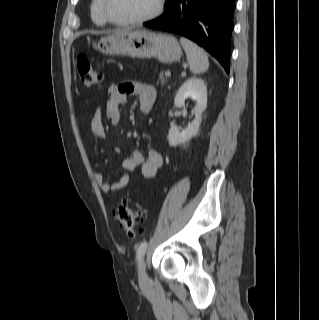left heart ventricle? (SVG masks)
Segmentation results:
<instances>
[{
    "mask_svg": "<svg viewBox=\"0 0 319 320\" xmlns=\"http://www.w3.org/2000/svg\"><path fill=\"white\" fill-rule=\"evenodd\" d=\"M157 5V0H107L111 16L118 20L142 17L150 14Z\"/></svg>",
    "mask_w": 319,
    "mask_h": 320,
    "instance_id": "b2bd125f",
    "label": "left heart ventricle"
}]
</instances>
